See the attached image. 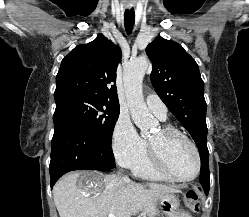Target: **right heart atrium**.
<instances>
[{
    "instance_id": "1",
    "label": "right heart atrium",
    "mask_w": 249,
    "mask_h": 217,
    "mask_svg": "<svg viewBox=\"0 0 249 217\" xmlns=\"http://www.w3.org/2000/svg\"><path fill=\"white\" fill-rule=\"evenodd\" d=\"M112 148L116 160L124 167H132L147 148L129 118L119 116L112 132Z\"/></svg>"
}]
</instances>
